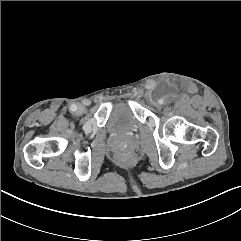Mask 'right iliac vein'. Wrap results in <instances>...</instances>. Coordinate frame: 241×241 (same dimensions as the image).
Masks as SVG:
<instances>
[{
  "mask_svg": "<svg viewBox=\"0 0 241 241\" xmlns=\"http://www.w3.org/2000/svg\"><path fill=\"white\" fill-rule=\"evenodd\" d=\"M85 111H86V109H85L84 106H79V107H78V110H77V113H78V114H83Z\"/></svg>",
  "mask_w": 241,
  "mask_h": 241,
  "instance_id": "1",
  "label": "right iliac vein"
}]
</instances>
